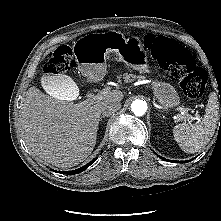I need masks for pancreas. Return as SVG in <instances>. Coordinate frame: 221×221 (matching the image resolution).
I'll return each instance as SVG.
<instances>
[{
	"instance_id": "obj_1",
	"label": "pancreas",
	"mask_w": 221,
	"mask_h": 221,
	"mask_svg": "<svg viewBox=\"0 0 221 221\" xmlns=\"http://www.w3.org/2000/svg\"><path fill=\"white\" fill-rule=\"evenodd\" d=\"M140 78H142V77L141 76H136L134 74H124L123 75V79H124L125 83H129L133 80L140 79ZM119 81H120V77H119Z\"/></svg>"
}]
</instances>
